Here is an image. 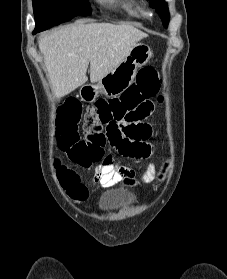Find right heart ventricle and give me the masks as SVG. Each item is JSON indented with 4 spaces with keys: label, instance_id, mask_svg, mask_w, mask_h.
Listing matches in <instances>:
<instances>
[{
    "label": "right heart ventricle",
    "instance_id": "e07e8e85",
    "mask_svg": "<svg viewBox=\"0 0 227 279\" xmlns=\"http://www.w3.org/2000/svg\"><path fill=\"white\" fill-rule=\"evenodd\" d=\"M108 1H109V3H114L115 0H108Z\"/></svg>",
    "mask_w": 227,
    "mask_h": 279
}]
</instances>
